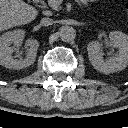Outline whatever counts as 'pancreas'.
Instances as JSON below:
<instances>
[{
  "label": "pancreas",
  "instance_id": "1",
  "mask_svg": "<svg viewBox=\"0 0 128 128\" xmlns=\"http://www.w3.org/2000/svg\"><path fill=\"white\" fill-rule=\"evenodd\" d=\"M59 0H48V4L50 7H52L54 10L59 11L61 8L59 7Z\"/></svg>",
  "mask_w": 128,
  "mask_h": 128
}]
</instances>
